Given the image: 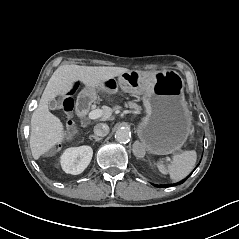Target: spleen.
Instances as JSON below:
<instances>
[{
  "label": "spleen",
  "instance_id": "1",
  "mask_svg": "<svg viewBox=\"0 0 239 239\" xmlns=\"http://www.w3.org/2000/svg\"><path fill=\"white\" fill-rule=\"evenodd\" d=\"M196 162L194 151H182L172 156V161L167 166L163 161L157 162L160 173L169 175L172 180L179 181L185 178L193 169Z\"/></svg>",
  "mask_w": 239,
  "mask_h": 239
}]
</instances>
